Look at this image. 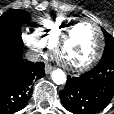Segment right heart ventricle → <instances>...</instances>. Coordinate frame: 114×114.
Here are the masks:
<instances>
[{"instance_id":"e07e8e85","label":"right heart ventricle","mask_w":114,"mask_h":114,"mask_svg":"<svg viewBox=\"0 0 114 114\" xmlns=\"http://www.w3.org/2000/svg\"><path fill=\"white\" fill-rule=\"evenodd\" d=\"M76 20L72 16H57L39 23L34 31L37 42L46 48H54L63 32Z\"/></svg>"}]
</instances>
